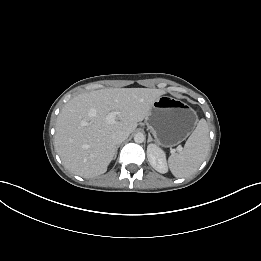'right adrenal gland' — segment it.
I'll list each match as a JSON object with an SVG mask.
<instances>
[{
  "instance_id": "2a0ac1e0",
  "label": "right adrenal gland",
  "mask_w": 261,
  "mask_h": 261,
  "mask_svg": "<svg viewBox=\"0 0 261 261\" xmlns=\"http://www.w3.org/2000/svg\"><path fill=\"white\" fill-rule=\"evenodd\" d=\"M118 148H119V145L116 147V149H115V154H114V159L116 158V156H117V151H118Z\"/></svg>"
}]
</instances>
